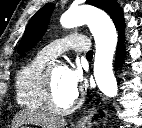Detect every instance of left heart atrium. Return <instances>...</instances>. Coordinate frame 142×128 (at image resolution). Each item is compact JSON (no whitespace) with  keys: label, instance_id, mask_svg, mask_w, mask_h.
<instances>
[{"label":"left heart atrium","instance_id":"39dd6f15","mask_svg":"<svg viewBox=\"0 0 142 128\" xmlns=\"http://www.w3.org/2000/svg\"><path fill=\"white\" fill-rule=\"evenodd\" d=\"M64 82L75 94H78L83 87L81 70L78 67L66 69L64 72Z\"/></svg>","mask_w":142,"mask_h":128}]
</instances>
